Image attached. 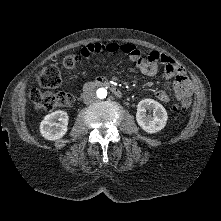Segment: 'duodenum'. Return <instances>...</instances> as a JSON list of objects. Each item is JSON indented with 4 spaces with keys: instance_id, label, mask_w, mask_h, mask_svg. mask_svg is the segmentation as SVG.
<instances>
[{
    "instance_id": "duodenum-1",
    "label": "duodenum",
    "mask_w": 221,
    "mask_h": 221,
    "mask_svg": "<svg viewBox=\"0 0 221 221\" xmlns=\"http://www.w3.org/2000/svg\"><path fill=\"white\" fill-rule=\"evenodd\" d=\"M94 87L108 88L113 94H115L118 97H121L123 95L122 91L116 85H114L111 81L103 77H97L95 80L86 83L84 85L83 90L84 92H88Z\"/></svg>"
}]
</instances>
